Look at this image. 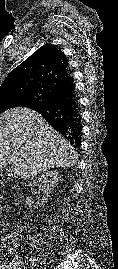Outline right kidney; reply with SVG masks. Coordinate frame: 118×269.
<instances>
[{"instance_id":"1","label":"right kidney","mask_w":118,"mask_h":269,"mask_svg":"<svg viewBox=\"0 0 118 269\" xmlns=\"http://www.w3.org/2000/svg\"><path fill=\"white\" fill-rule=\"evenodd\" d=\"M60 180L59 174L57 171H47L43 173L41 176L36 178L31 186L40 185L42 187L43 193L48 196L50 192L54 190ZM47 198H42V202L45 203ZM26 204L29 206L30 209L34 208V201L31 196L26 197Z\"/></svg>"}]
</instances>
